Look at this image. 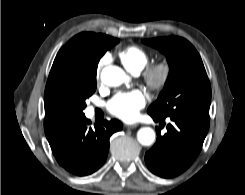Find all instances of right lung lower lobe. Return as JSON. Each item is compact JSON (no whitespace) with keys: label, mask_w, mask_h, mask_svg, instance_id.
I'll use <instances>...</instances> for the list:
<instances>
[{"label":"right lung lower lobe","mask_w":245,"mask_h":195,"mask_svg":"<svg viewBox=\"0 0 245 195\" xmlns=\"http://www.w3.org/2000/svg\"><path fill=\"white\" fill-rule=\"evenodd\" d=\"M122 127L118 120H105L92 128L90 121L84 116L49 144L63 168L74 175L85 176L104 164L109 150V138Z\"/></svg>","instance_id":"1"}]
</instances>
